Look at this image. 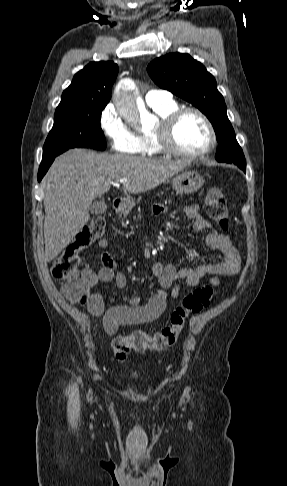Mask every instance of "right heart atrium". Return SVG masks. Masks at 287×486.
<instances>
[{"label":"right heart atrium","instance_id":"d8ad5b80","mask_svg":"<svg viewBox=\"0 0 287 486\" xmlns=\"http://www.w3.org/2000/svg\"><path fill=\"white\" fill-rule=\"evenodd\" d=\"M99 125L113 151L124 153L138 151V136L122 119L115 105L110 103L103 108L99 117Z\"/></svg>","mask_w":287,"mask_h":486}]
</instances>
